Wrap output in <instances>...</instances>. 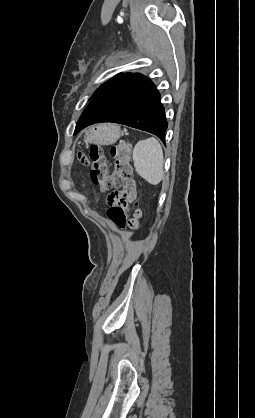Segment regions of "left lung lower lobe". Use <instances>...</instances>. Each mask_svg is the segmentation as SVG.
Returning <instances> with one entry per match:
<instances>
[{
	"label": "left lung lower lobe",
	"instance_id": "left-lung-lower-lobe-1",
	"mask_svg": "<svg viewBox=\"0 0 255 418\" xmlns=\"http://www.w3.org/2000/svg\"><path fill=\"white\" fill-rule=\"evenodd\" d=\"M114 122L141 129L164 142L168 124L160 93L153 82L139 73H123L94 97L80 116L76 128Z\"/></svg>",
	"mask_w": 255,
	"mask_h": 418
}]
</instances>
